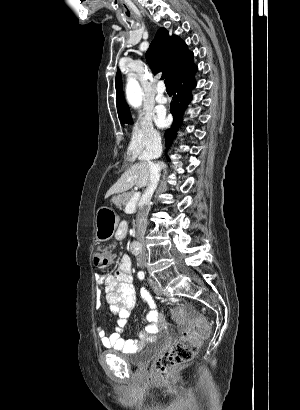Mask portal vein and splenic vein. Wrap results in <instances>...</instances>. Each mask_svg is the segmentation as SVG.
Masks as SVG:
<instances>
[{
	"label": "portal vein and splenic vein",
	"mask_w": 300,
	"mask_h": 410,
	"mask_svg": "<svg viewBox=\"0 0 300 410\" xmlns=\"http://www.w3.org/2000/svg\"><path fill=\"white\" fill-rule=\"evenodd\" d=\"M140 192H136L132 198L130 199V201L126 204L125 207V212L130 213L133 212L135 210L136 204L139 201L140 198Z\"/></svg>",
	"instance_id": "1"
}]
</instances>
